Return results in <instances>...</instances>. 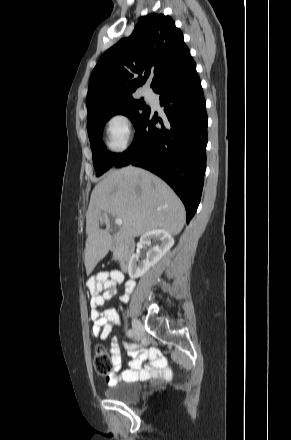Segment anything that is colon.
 Segmentation results:
<instances>
[{
	"instance_id": "1",
	"label": "colon",
	"mask_w": 291,
	"mask_h": 440,
	"mask_svg": "<svg viewBox=\"0 0 291 440\" xmlns=\"http://www.w3.org/2000/svg\"><path fill=\"white\" fill-rule=\"evenodd\" d=\"M94 370L100 375H108L110 368V359L104 347L97 346L93 358Z\"/></svg>"
}]
</instances>
